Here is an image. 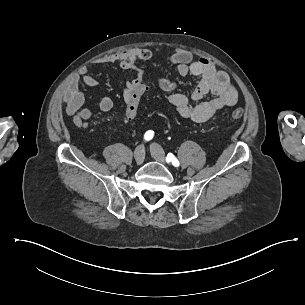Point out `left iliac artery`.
Here are the masks:
<instances>
[{
    "label": "left iliac artery",
    "mask_w": 305,
    "mask_h": 305,
    "mask_svg": "<svg viewBox=\"0 0 305 305\" xmlns=\"http://www.w3.org/2000/svg\"><path fill=\"white\" fill-rule=\"evenodd\" d=\"M166 162L167 163H172L173 166L178 167L180 165L178 159L172 154L168 153L166 157Z\"/></svg>",
    "instance_id": "left-iliac-artery-1"
}]
</instances>
